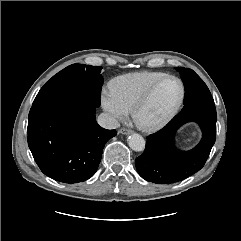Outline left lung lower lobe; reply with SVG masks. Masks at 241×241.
<instances>
[{
  "mask_svg": "<svg viewBox=\"0 0 241 241\" xmlns=\"http://www.w3.org/2000/svg\"><path fill=\"white\" fill-rule=\"evenodd\" d=\"M216 118L212 103L182 109L164 128L147 137L145 150L135 161L139 175L149 182L169 184L199 171L215 143ZM191 121L199 124L203 137L192 150L180 151L174 145L175 133L180 126Z\"/></svg>",
  "mask_w": 241,
  "mask_h": 241,
  "instance_id": "obj_1",
  "label": "left lung lower lobe"
}]
</instances>
